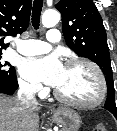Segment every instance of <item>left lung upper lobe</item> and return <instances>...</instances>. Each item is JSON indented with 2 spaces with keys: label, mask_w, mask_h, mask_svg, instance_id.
Instances as JSON below:
<instances>
[{
  "label": "left lung upper lobe",
  "mask_w": 117,
  "mask_h": 131,
  "mask_svg": "<svg viewBox=\"0 0 117 131\" xmlns=\"http://www.w3.org/2000/svg\"><path fill=\"white\" fill-rule=\"evenodd\" d=\"M55 7L62 15L66 44L77 55L94 61L107 83L105 108L117 115L109 48L102 18L92 0H60Z\"/></svg>",
  "instance_id": "left-lung-upper-lobe-1"
}]
</instances>
